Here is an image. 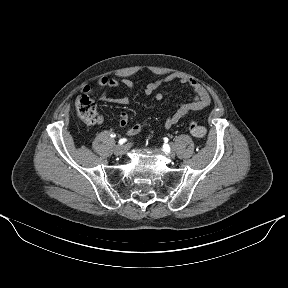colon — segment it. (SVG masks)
I'll use <instances>...</instances> for the list:
<instances>
[{
    "mask_svg": "<svg viewBox=\"0 0 288 288\" xmlns=\"http://www.w3.org/2000/svg\"><path fill=\"white\" fill-rule=\"evenodd\" d=\"M75 108L80 118L88 124L98 123L99 116L97 113L96 102L87 94H81L75 101ZM190 133L197 137L202 138L206 135V128L196 122L189 124Z\"/></svg>",
    "mask_w": 288,
    "mask_h": 288,
    "instance_id": "1",
    "label": "colon"
}]
</instances>
